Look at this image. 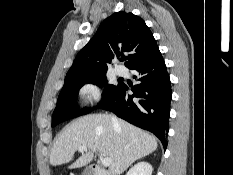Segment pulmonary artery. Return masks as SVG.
Wrapping results in <instances>:
<instances>
[{"instance_id":"e3ab8cb5","label":"pulmonary artery","mask_w":233,"mask_h":175,"mask_svg":"<svg viewBox=\"0 0 233 175\" xmlns=\"http://www.w3.org/2000/svg\"><path fill=\"white\" fill-rule=\"evenodd\" d=\"M116 73L118 75H124L125 74V69L121 66L116 67Z\"/></svg>"}]
</instances>
